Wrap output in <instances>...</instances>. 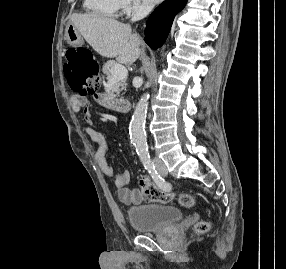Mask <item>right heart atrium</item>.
Listing matches in <instances>:
<instances>
[{
    "label": "right heart atrium",
    "mask_w": 286,
    "mask_h": 269,
    "mask_svg": "<svg viewBox=\"0 0 286 269\" xmlns=\"http://www.w3.org/2000/svg\"><path fill=\"white\" fill-rule=\"evenodd\" d=\"M122 10L128 15H141L149 12L150 7L145 0H122Z\"/></svg>",
    "instance_id": "right-heart-atrium-1"
}]
</instances>
